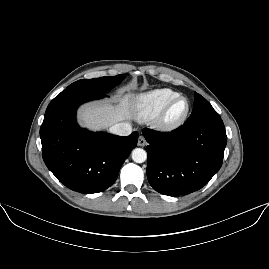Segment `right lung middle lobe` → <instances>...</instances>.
I'll return each instance as SVG.
<instances>
[{
	"label": "right lung middle lobe",
	"mask_w": 269,
	"mask_h": 269,
	"mask_svg": "<svg viewBox=\"0 0 269 269\" xmlns=\"http://www.w3.org/2000/svg\"><path fill=\"white\" fill-rule=\"evenodd\" d=\"M124 79L123 75L105 76L95 79L78 80L67 87L66 90L79 89L85 92L105 94Z\"/></svg>",
	"instance_id": "dd1d6c3e"
}]
</instances>
